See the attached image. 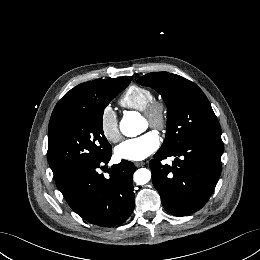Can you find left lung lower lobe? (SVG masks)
Here are the masks:
<instances>
[{
	"label": "left lung lower lobe",
	"mask_w": 260,
	"mask_h": 260,
	"mask_svg": "<svg viewBox=\"0 0 260 260\" xmlns=\"http://www.w3.org/2000/svg\"><path fill=\"white\" fill-rule=\"evenodd\" d=\"M221 137L191 140L175 149H159L149 162L152 181L163 207L172 215L186 216L202 208L221 173ZM173 156V165L161 160Z\"/></svg>",
	"instance_id": "left-lung-lower-lobe-1"
}]
</instances>
